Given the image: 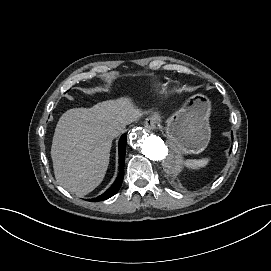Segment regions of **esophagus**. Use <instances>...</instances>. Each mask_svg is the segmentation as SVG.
Listing matches in <instances>:
<instances>
[{
	"label": "esophagus",
	"instance_id": "esophagus-1",
	"mask_svg": "<svg viewBox=\"0 0 271 271\" xmlns=\"http://www.w3.org/2000/svg\"><path fill=\"white\" fill-rule=\"evenodd\" d=\"M145 127L150 130H155L157 127V118L155 116H151L146 119Z\"/></svg>",
	"mask_w": 271,
	"mask_h": 271
}]
</instances>
